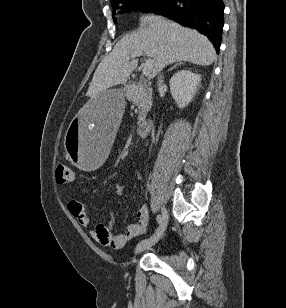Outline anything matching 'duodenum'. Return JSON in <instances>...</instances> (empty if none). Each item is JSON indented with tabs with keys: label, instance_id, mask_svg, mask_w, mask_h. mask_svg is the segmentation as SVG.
Listing matches in <instances>:
<instances>
[{
	"label": "duodenum",
	"instance_id": "410a0bca",
	"mask_svg": "<svg viewBox=\"0 0 286 308\" xmlns=\"http://www.w3.org/2000/svg\"><path fill=\"white\" fill-rule=\"evenodd\" d=\"M150 126H151L150 120L142 121L138 125V128H137L138 135L141 136V137H145L147 135L148 131H149Z\"/></svg>",
	"mask_w": 286,
	"mask_h": 308
}]
</instances>
